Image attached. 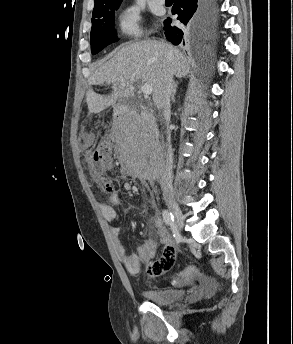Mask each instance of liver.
I'll return each mask as SVG.
<instances>
[{
	"instance_id": "6515ba94",
	"label": "liver",
	"mask_w": 293,
	"mask_h": 344,
	"mask_svg": "<svg viewBox=\"0 0 293 344\" xmlns=\"http://www.w3.org/2000/svg\"><path fill=\"white\" fill-rule=\"evenodd\" d=\"M189 70V60L169 43L154 39L129 43L90 77V84H112L114 91L104 96L88 90L86 103L89 112L100 113L117 101L131 97L134 93L132 84L138 81L152 86L153 101L156 104L166 72L170 71L173 76L181 79ZM122 82L126 85L122 86Z\"/></svg>"
}]
</instances>
